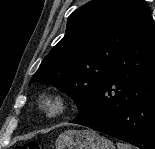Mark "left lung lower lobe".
<instances>
[{"instance_id": "1", "label": "left lung lower lobe", "mask_w": 155, "mask_h": 149, "mask_svg": "<svg viewBox=\"0 0 155 149\" xmlns=\"http://www.w3.org/2000/svg\"><path fill=\"white\" fill-rule=\"evenodd\" d=\"M71 123L140 149H155V26L150 13L125 42L88 106Z\"/></svg>"}]
</instances>
